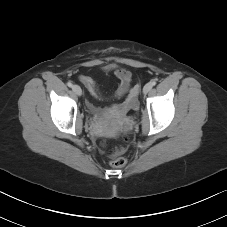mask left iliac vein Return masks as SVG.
Returning a JSON list of instances; mask_svg holds the SVG:
<instances>
[{"label": "left iliac vein", "instance_id": "4c4485c4", "mask_svg": "<svg viewBox=\"0 0 227 227\" xmlns=\"http://www.w3.org/2000/svg\"><path fill=\"white\" fill-rule=\"evenodd\" d=\"M151 89H152L151 83H147V84L143 87V93H144V94H147Z\"/></svg>", "mask_w": 227, "mask_h": 227}]
</instances>
